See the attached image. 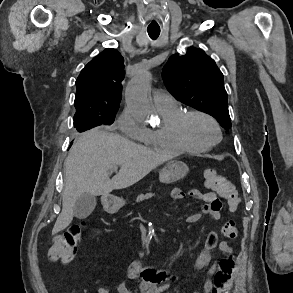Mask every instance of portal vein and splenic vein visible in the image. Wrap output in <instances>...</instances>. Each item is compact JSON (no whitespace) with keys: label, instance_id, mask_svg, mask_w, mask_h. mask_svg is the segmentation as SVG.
<instances>
[{"label":"portal vein and splenic vein","instance_id":"18ae733b","mask_svg":"<svg viewBox=\"0 0 293 293\" xmlns=\"http://www.w3.org/2000/svg\"><path fill=\"white\" fill-rule=\"evenodd\" d=\"M118 167H113L111 171H117Z\"/></svg>","mask_w":293,"mask_h":293}]
</instances>
